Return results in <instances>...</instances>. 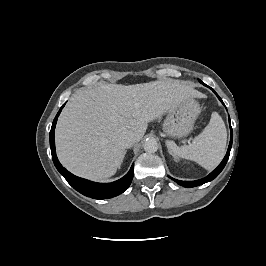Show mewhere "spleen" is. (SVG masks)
Wrapping results in <instances>:
<instances>
[{
    "label": "spleen",
    "instance_id": "spleen-1",
    "mask_svg": "<svg viewBox=\"0 0 266 266\" xmlns=\"http://www.w3.org/2000/svg\"><path fill=\"white\" fill-rule=\"evenodd\" d=\"M227 131L221 116L213 112L209 124L190 145L178 147L169 142L168 149L175 157L191 160L207 170L216 167L225 154Z\"/></svg>",
    "mask_w": 266,
    "mask_h": 266
}]
</instances>
